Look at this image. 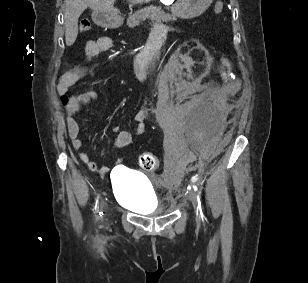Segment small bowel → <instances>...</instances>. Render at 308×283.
<instances>
[{"mask_svg":"<svg viewBox=\"0 0 308 283\" xmlns=\"http://www.w3.org/2000/svg\"><path fill=\"white\" fill-rule=\"evenodd\" d=\"M158 30H163V27L156 26L152 31V35H154ZM113 47V41L109 37H100L96 40L89 41L85 46V52L90 57H96L109 51ZM133 73L140 81H145L147 78V72L139 63L138 58L133 61ZM86 71L82 68H73L66 70L60 77L58 83V91L61 94H65L69 91V89L75 85L79 80L85 77ZM97 98V94L92 90L84 91L80 94L72 96L67 104V126L69 131V136L72 140V145L75 150L79 152L80 160L87 165V167L93 172H100L101 174H106L109 172L110 168L108 166L98 165L91 160L89 155L83 151L84 142L79 137V125L76 117H79L82 111V107L85 104H88L90 101L95 100ZM167 102L166 97H163L157 104L155 114L159 118H163L166 114ZM149 111L144 109L138 112L135 116V120L137 122L135 134L143 135L146 133L147 125L146 120L148 118ZM115 132L117 133V137L115 140L116 148H123L129 145L132 142V134L127 130H120L119 127H115Z\"/></svg>","mask_w":308,"mask_h":283,"instance_id":"1","label":"small bowel"}]
</instances>
